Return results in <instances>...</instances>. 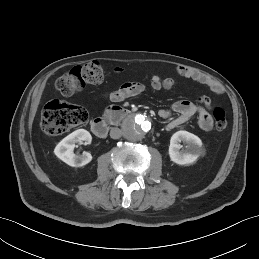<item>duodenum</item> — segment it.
Instances as JSON below:
<instances>
[{
  "instance_id": "1",
  "label": "duodenum",
  "mask_w": 259,
  "mask_h": 259,
  "mask_svg": "<svg viewBox=\"0 0 259 259\" xmlns=\"http://www.w3.org/2000/svg\"><path fill=\"white\" fill-rule=\"evenodd\" d=\"M131 115V112L117 105L107 107L103 118H96L91 123L93 134L99 138H103L109 131L110 122L117 121L121 117Z\"/></svg>"
}]
</instances>
